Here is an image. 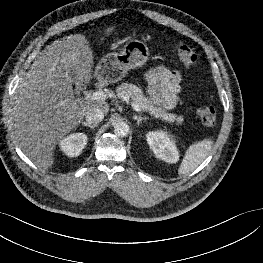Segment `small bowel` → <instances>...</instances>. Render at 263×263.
<instances>
[{"label":"small bowel","instance_id":"obj_1","mask_svg":"<svg viewBox=\"0 0 263 263\" xmlns=\"http://www.w3.org/2000/svg\"><path fill=\"white\" fill-rule=\"evenodd\" d=\"M147 90L152 99L161 107L173 108L182 91V76L179 71L156 67L148 71Z\"/></svg>","mask_w":263,"mask_h":263}]
</instances>
